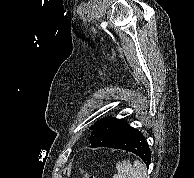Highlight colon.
I'll list each match as a JSON object with an SVG mask.
<instances>
[{
  "label": "colon",
  "mask_w": 194,
  "mask_h": 178,
  "mask_svg": "<svg viewBox=\"0 0 194 178\" xmlns=\"http://www.w3.org/2000/svg\"><path fill=\"white\" fill-rule=\"evenodd\" d=\"M80 175L82 178H96L95 176H93V175H91L83 170L80 171Z\"/></svg>",
  "instance_id": "5ec220e1"
}]
</instances>
